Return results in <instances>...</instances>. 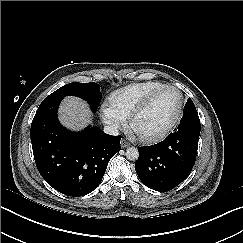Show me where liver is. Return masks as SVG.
I'll return each instance as SVG.
<instances>
[{
    "label": "liver",
    "instance_id": "1",
    "mask_svg": "<svg viewBox=\"0 0 243 243\" xmlns=\"http://www.w3.org/2000/svg\"><path fill=\"white\" fill-rule=\"evenodd\" d=\"M88 104L77 97H66L59 107V120L69 129L80 130L91 123Z\"/></svg>",
    "mask_w": 243,
    "mask_h": 243
}]
</instances>
